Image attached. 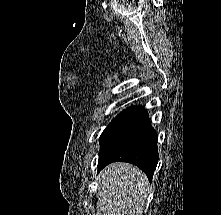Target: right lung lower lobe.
<instances>
[{"label": "right lung lower lobe", "mask_w": 221, "mask_h": 215, "mask_svg": "<svg viewBox=\"0 0 221 215\" xmlns=\"http://www.w3.org/2000/svg\"><path fill=\"white\" fill-rule=\"evenodd\" d=\"M115 161L138 166L152 180L158 163L157 134L144 108H128L101 142L98 170Z\"/></svg>", "instance_id": "98d812e1"}]
</instances>
